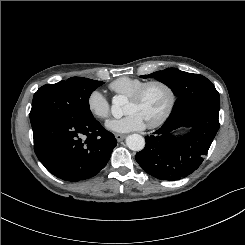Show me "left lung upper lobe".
I'll return each instance as SVG.
<instances>
[{
    "label": "left lung upper lobe",
    "instance_id": "left-lung-upper-lobe-1",
    "mask_svg": "<svg viewBox=\"0 0 245 245\" xmlns=\"http://www.w3.org/2000/svg\"><path fill=\"white\" fill-rule=\"evenodd\" d=\"M141 77H154L169 86L177 96L173 110L166 121H170L186 110L196 107L211 106L220 108L219 93L215 86L200 74L167 68Z\"/></svg>",
    "mask_w": 245,
    "mask_h": 245
}]
</instances>
